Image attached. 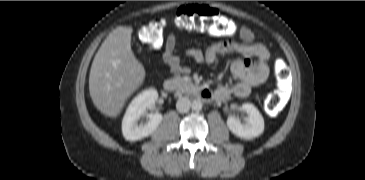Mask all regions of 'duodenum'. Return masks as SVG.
<instances>
[{
	"label": "duodenum",
	"mask_w": 365,
	"mask_h": 180,
	"mask_svg": "<svg viewBox=\"0 0 365 180\" xmlns=\"http://www.w3.org/2000/svg\"><path fill=\"white\" fill-rule=\"evenodd\" d=\"M163 86L166 91L172 92V91L180 90L181 88L184 87V84L178 79L170 78L164 82ZM186 87L199 100H201L203 102H209L213 99V93L207 88H202V87L192 85V84H188V85H186Z\"/></svg>",
	"instance_id": "1"
}]
</instances>
